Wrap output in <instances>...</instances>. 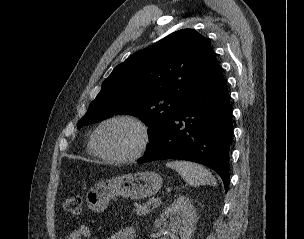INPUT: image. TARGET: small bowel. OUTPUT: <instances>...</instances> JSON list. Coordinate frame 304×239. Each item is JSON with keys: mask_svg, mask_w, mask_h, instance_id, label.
Here are the masks:
<instances>
[{"mask_svg": "<svg viewBox=\"0 0 304 239\" xmlns=\"http://www.w3.org/2000/svg\"><path fill=\"white\" fill-rule=\"evenodd\" d=\"M91 236V231L86 225H80L66 234L65 239H86ZM135 230L131 227L123 228L107 237V239H134Z\"/></svg>", "mask_w": 304, "mask_h": 239, "instance_id": "obj_1", "label": "small bowel"}]
</instances>
